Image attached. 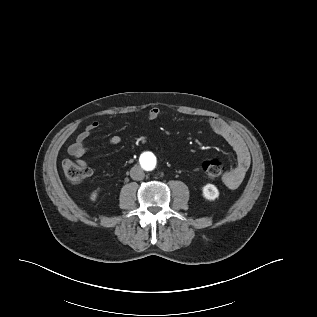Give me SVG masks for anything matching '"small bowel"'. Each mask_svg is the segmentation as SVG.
Listing matches in <instances>:
<instances>
[{"instance_id": "1", "label": "small bowel", "mask_w": 317, "mask_h": 317, "mask_svg": "<svg viewBox=\"0 0 317 317\" xmlns=\"http://www.w3.org/2000/svg\"><path fill=\"white\" fill-rule=\"evenodd\" d=\"M161 109L153 107L149 111V118L151 120H157L161 116ZM207 123L210 129L225 140L233 149L237 157V165L235 168L227 172L223 177L224 184L230 188H237L243 181L246 172L250 166V155L241 138V136L224 120L218 117H209ZM100 127L98 122H92L89 124L76 138V140L68 147V153L76 159L79 164L86 165L83 160V156L88 151L86 145L87 139L96 132ZM121 142V137L118 135H112L108 138L110 145H118Z\"/></svg>"}]
</instances>
